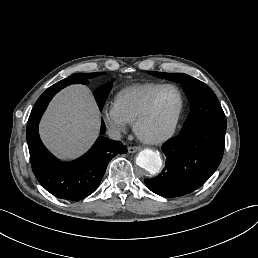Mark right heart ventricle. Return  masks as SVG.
Masks as SVG:
<instances>
[{
    "label": "right heart ventricle",
    "mask_w": 258,
    "mask_h": 258,
    "mask_svg": "<svg viewBox=\"0 0 258 258\" xmlns=\"http://www.w3.org/2000/svg\"><path fill=\"white\" fill-rule=\"evenodd\" d=\"M159 86V84L146 83L124 88L117 93L114 104L128 123H134L149 96Z\"/></svg>",
    "instance_id": "obj_1"
}]
</instances>
